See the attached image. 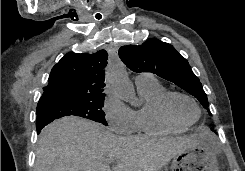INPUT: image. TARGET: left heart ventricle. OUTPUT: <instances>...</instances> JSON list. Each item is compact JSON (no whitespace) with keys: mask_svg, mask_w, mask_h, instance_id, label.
<instances>
[{"mask_svg":"<svg viewBox=\"0 0 245 171\" xmlns=\"http://www.w3.org/2000/svg\"><path fill=\"white\" fill-rule=\"evenodd\" d=\"M172 111L178 119L184 122H192L198 115V111L194 104L182 97H176L173 100Z\"/></svg>","mask_w":245,"mask_h":171,"instance_id":"obj_1","label":"left heart ventricle"}]
</instances>
